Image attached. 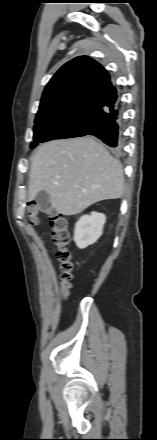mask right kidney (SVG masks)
<instances>
[{"instance_id": "1", "label": "right kidney", "mask_w": 157, "mask_h": 440, "mask_svg": "<svg viewBox=\"0 0 157 440\" xmlns=\"http://www.w3.org/2000/svg\"><path fill=\"white\" fill-rule=\"evenodd\" d=\"M106 216L92 212L82 216L75 225L74 241L78 248L84 249L95 243L103 233Z\"/></svg>"}]
</instances>
